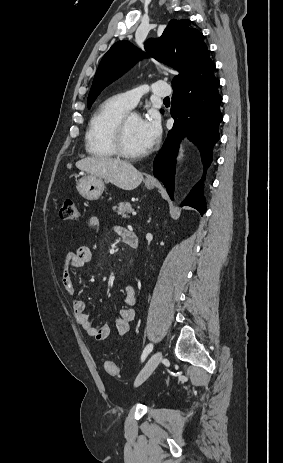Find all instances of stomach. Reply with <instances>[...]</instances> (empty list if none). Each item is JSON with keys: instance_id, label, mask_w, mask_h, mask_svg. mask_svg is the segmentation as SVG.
<instances>
[{"instance_id": "obj_1", "label": "stomach", "mask_w": 283, "mask_h": 463, "mask_svg": "<svg viewBox=\"0 0 283 463\" xmlns=\"http://www.w3.org/2000/svg\"><path fill=\"white\" fill-rule=\"evenodd\" d=\"M145 186L147 189H153L155 187V183H148L145 182ZM77 191L79 194L87 199V200H97L104 191L105 185L102 178L88 175L81 178L77 182Z\"/></svg>"}]
</instances>
